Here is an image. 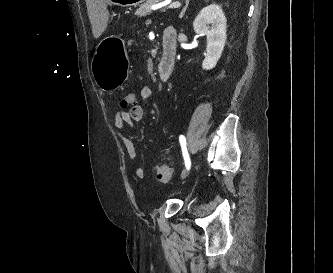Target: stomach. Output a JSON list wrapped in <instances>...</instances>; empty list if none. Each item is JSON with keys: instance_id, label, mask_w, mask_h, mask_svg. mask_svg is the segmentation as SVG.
<instances>
[{"instance_id": "0dacf381", "label": "stomach", "mask_w": 333, "mask_h": 273, "mask_svg": "<svg viewBox=\"0 0 333 273\" xmlns=\"http://www.w3.org/2000/svg\"><path fill=\"white\" fill-rule=\"evenodd\" d=\"M145 0H109L110 5L138 6ZM123 53L122 42L118 37L104 39L95 52L92 61V73L97 86L103 90L118 88L128 75L129 63Z\"/></svg>"}]
</instances>
